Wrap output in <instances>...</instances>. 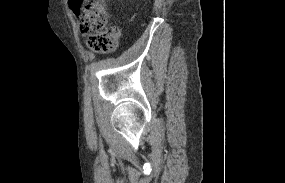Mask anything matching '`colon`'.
<instances>
[{"label":"colon","mask_w":285,"mask_h":183,"mask_svg":"<svg viewBox=\"0 0 285 183\" xmlns=\"http://www.w3.org/2000/svg\"><path fill=\"white\" fill-rule=\"evenodd\" d=\"M80 32L89 35L87 44L97 53L107 54L117 48L120 30L108 27L107 0H70Z\"/></svg>","instance_id":"1"}]
</instances>
